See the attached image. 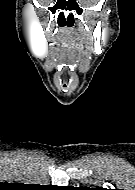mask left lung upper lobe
<instances>
[{
  "label": "left lung upper lobe",
  "mask_w": 135,
  "mask_h": 190,
  "mask_svg": "<svg viewBox=\"0 0 135 190\" xmlns=\"http://www.w3.org/2000/svg\"><path fill=\"white\" fill-rule=\"evenodd\" d=\"M98 190H107L106 188H98Z\"/></svg>",
  "instance_id": "5c2ea615"
}]
</instances>
